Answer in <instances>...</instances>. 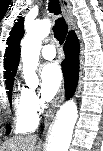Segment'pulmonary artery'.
I'll return each mask as SVG.
<instances>
[{
    "label": "pulmonary artery",
    "instance_id": "pulmonary-artery-1",
    "mask_svg": "<svg viewBox=\"0 0 103 151\" xmlns=\"http://www.w3.org/2000/svg\"><path fill=\"white\" fill-rule=\"evenodd\" d=\"M42 56L46 60H52L56 56V50L54 45L52 44H47L43 47L42 49Z\"/></svg>",
    "mask_w": 103,
    "mask_h": 151
}]
</instances>
